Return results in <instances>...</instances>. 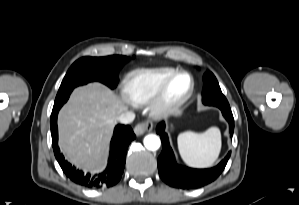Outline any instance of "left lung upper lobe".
Wrapping results in <instances>:
<instances>
[{
	"label": "left lung upper lobe",
	"instance_id": "left-lung-upper-lobe-1",
	"mask_svg": "<svg viewBox=\"0 0 299 205\" xmlns=\"http://www.w3.org/2000/svg\"><path fill=\"white\" fill-rule=\"evenodd\" d=\"M204 89H203V103L213 104L226 102L227 99L223 95L217 79L211 72H207L204 75Z\"/></svg>",
	"mask_w": 299,
	"mask_h": 205
}]
</instances>
